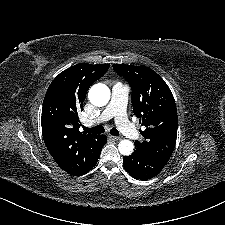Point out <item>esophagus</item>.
<instances>
[{
  "instance_id": "34e87169",
  "label": "esophagus",
  "mask_w": 225,
  "mask_h": 225,
  "mask_svg": "<svg viewBox=\"0 0 225 225\" xmlns=\"http://www.w3.org/2000/svg\"><path fill=\"white\" fill-rule=\"evenodd\" d=\"M109 139L113 141H120L122 138L121 137H116V136H109Z\"/></svg>"
}]
</instances>
